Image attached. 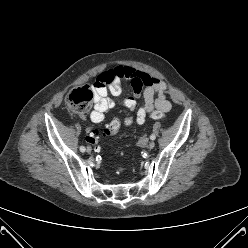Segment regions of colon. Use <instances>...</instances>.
I'll return each instance as SVG.
<instances>
[{
  "mask_svg": "<svg viewBox=\"0 0 248 248\" xmlns=\"http://www.w3.org/2000/svg\"><path fill=\"white\" fill-rule=\"evenodd\" d=\"M94 95V87L92 88L89 85H84L74 89L68 95L66 100L69 111L78 115L85 114L90 109ZM151 117L154 119H163L165 115L160 111H154L151 113ZM134 123L133 116L128 114L124 116V119H122L121 126L124 130L131 131L134 128ZM119 128L120 121L118 119H114L107 126L104 133L106 135L116 134ZM85 140L89 145H96L99 142V132L96 129L87 128L85 130ZM131 157V155L126 156L127 159H130ZM122 171V167L117 168V173H121Z\"/></svg>",
  "mask_w": 248,
  "mask_h": 248,
  "instance_id": "5ec220e1",
  "label": "colon"
}]
</instances>
